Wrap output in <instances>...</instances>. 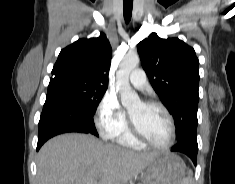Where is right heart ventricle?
I'll use <instances>...</instances> for the list:
<instances>
[{
    "label": "right heart ventricle",
    "instance_id": "e07e8e85",
    "mask_svg": "<svg viewBox=\"0 0 235 184\" xmlns=\"http://www.w3.org/2000/svg\"><path fill=\"white\" fill-rule=\"evenodd\" d=\"M117 142L122 147H127L134 150L142 149L144 146L141 142L137 141L133 136L129 128L126 129L119 135Z\"/></svg>",
    "mask_w": 235,
    "mask_h": 184
}]
</instances>
